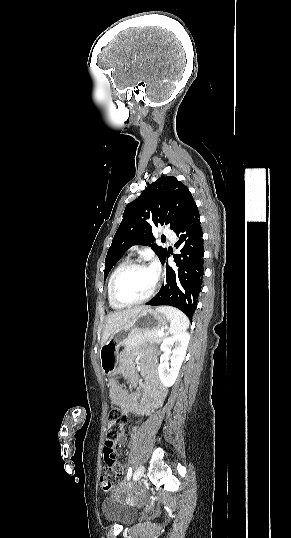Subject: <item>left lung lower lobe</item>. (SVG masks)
I'll use <instances>...</instances> for the list:
<instances>
[{
  "mask_svg": "<svg viewBox=\"0 0 291 538\" xmlns=\"http://www.w3.org/2000/svg\"><path fill=\"white\" fill-rule=\"evenodd\" d=\"M179 240L176 243L181 254L174 256L176 267L166 265L165 283L159 293L147 305H169L183 311L190 319L194 314L202 288L203 232L198 208L174 230ZM169 252L162 260L165 263Z\"/></svg>",
  "mask_w": 291,
  "mask_h": 538,
  "instance_id": "obj_1",
  "label": "left lung lower lobe"
}]
</instances>
